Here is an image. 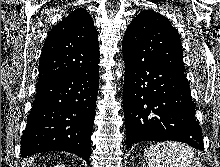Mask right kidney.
Returning <instances> with one entry per match:
<instances>
[{
  "instance_id": "obj_1",
  "label": "right kidney",
  "mask_w": 220,
  "mask_h": 167,
  "mask_svg": "<svg viewBox=\"0 0 220 167\" xmlns=\"http://www.w3.org/2000/svg\"><path fill=\"white\" fill-rule=\"evenodd\" d=\"M54 167H65L64 165H56V166H54Z\"/></svg>"
}]
</instances>
